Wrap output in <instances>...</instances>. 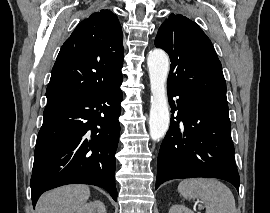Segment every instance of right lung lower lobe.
Here are the masks:
<instances>
[{
    "label": "right lung lower lobe",
    "mask_w": 270,
    "mask_h": 213,
    "mask_svg": "<svg viewBox=\"0 0 270 213\" xmlns=\"http://www.w3.org/2000/svg\"><path fill=\"white\" fill-rule=\"evenodd\" d=\"M121 84L85 98L47 104L30 182L33 207L43 192L73 183L100 186L117 201Z\"/></svg>",
    "instance_id": "98d812e1"
}]
</instances>
